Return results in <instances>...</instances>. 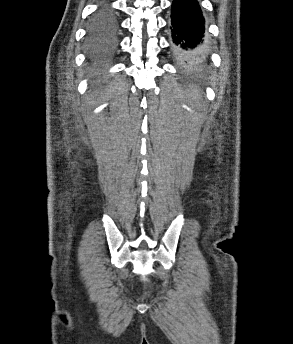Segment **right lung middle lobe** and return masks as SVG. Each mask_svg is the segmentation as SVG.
<instances>
[{"label":"right lung middle lobe","mask_w":293,"mask_h":344,"mask_svg":"<svg viewBox=\"0 0 293 344\" xmlns=\"http://www.w3.org/2000/svg\"><path fill=\"white\" fill-rule=\"evenodd\" d=\"M114 15L110 9L97 14L89 27V43L92 48L100 49L109 44L110 31L114 26Z\"/></svg>","instance_id":"obj_1"}]
</instances>
